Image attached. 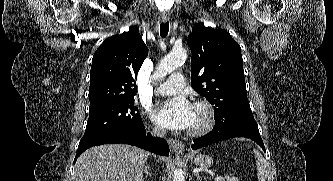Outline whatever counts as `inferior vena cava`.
<instances>
[{"label":"inferior vena cava","mask_w":333,"mask_h":181,"mask_svg":"<svg viewBox=\"0 0 333 181\" xmlns=\"http://www.w3.org/2000/svg\"><path fill=\"white\" fill-rule=\"evenodd\" d=\"M165 133L166 131L163 129V128H160V127H155L153 129V134L155 136H158V137H164L165 136Z\"/></svg>","instance_id":"602c4592"}]
</instances>
